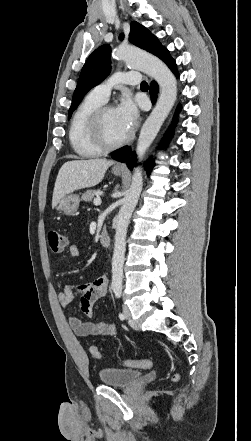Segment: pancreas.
<instances>
[{
  "mask_svg": "<svg viewBox=\"0 0 251 441\" xmlns=\"http://www.w3.org/2000/svg\"><path fill=\"white\" fill-rule=\"evenodd\" d=\"M98 194V191L96 190H87L83 195H82V200L86 201V202H90L92 201V199L94 198L95 195Z\"/></svg>",
  "mask_w": 251,
  "mask_h": 441,
  "instance_id": "cf45deb5",
  "label": "pancreas"
}]
</instances>
